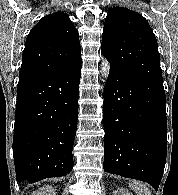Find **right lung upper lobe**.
<instances>
[{"label":"right lung upper lobe","instance_id":"right-lung-upper-lobe-1","mask_svg":"<svg viewBox=\"0 0 178 195\" xmlns=\"http://www.w3.org/2000/svg\"><path fill=\"white\" fill-rule=\"evenodd\" d=\"M81 62L78 31L67 14L56 12L43 17L27 36L19 80L70 71Z\"/></svg>","mask_w":178,"mask_h":195}]
</instances>
